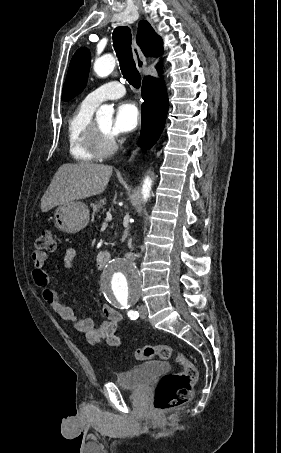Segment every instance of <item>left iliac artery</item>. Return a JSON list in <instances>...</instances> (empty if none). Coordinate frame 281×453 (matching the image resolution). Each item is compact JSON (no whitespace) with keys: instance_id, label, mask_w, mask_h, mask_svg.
Segmentation results:
<instances>
[{"instance_id":"obj_1","label":"left iliac artery","mask_w":281,"mask_h":453,"mask_svg":"<svg viewBox=\"0 0 281 453\" xmlns=\"http://www.w3.org/2000/svg\"><path fill=\"white\" fill-rule=\"evenodd\" d=\"M130 306H124L123 309H128ZM128 316L131 320H135L139 317V313L137 311H129Z\"/></svg>"}]
</instances>
